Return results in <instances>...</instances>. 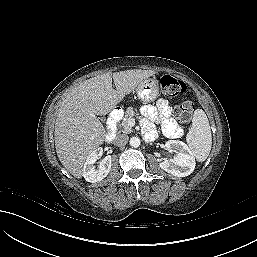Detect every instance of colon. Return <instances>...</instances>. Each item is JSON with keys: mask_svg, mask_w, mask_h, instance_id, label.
<instances>
[{"mask_svg": "<svg viewBox=\"0 0 257 257\" xmlns=\"http://www.w3.org/2000/svg\"><path fill=\"white\" fill-rule=\"evenodd\" d=\"M157 82L165 97L173 98L183 94L186 91V85L183 81L167 74H161L157 77ZM194 110L192 102L186 101L176 108L177 119L181 123H188Z\"/></svg>", "mask_w": 257, "mask_h": 257, "instance_id": "5ec220e1", "label": "colon"}]
</instances>
